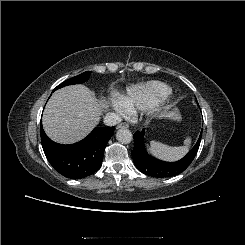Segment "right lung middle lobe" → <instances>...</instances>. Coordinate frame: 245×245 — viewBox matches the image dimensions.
Here are the masks:
<instances>
[{"mask_svg": "<svg viewBox=\"0 0 245 245\" xmlns=\"http://www.w3.org/2000/svg\"><path fill=\"white\" fill-rule=\"evenodd\" d=\"M90 73H91V71H86V72H84L78 76L72 77V78L64 81L63 83H61L54 90L59 89V88L64 87V86H67V85L83 83L88 79Z\"/></svg>", "mask_w": 245, "mask_h": 245, "instance_id": "right-lung-middle-lobe-1", "label": "right lung middle lobe"}]
</instances>
